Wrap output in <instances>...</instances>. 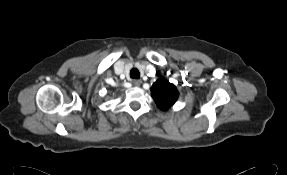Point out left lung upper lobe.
<instances>
[{"label": "left lung upper lobe", "mask_w": 287, "mask_h": 175, "mask_svg": "<svg viewBox=\"0 0 287 175\" xmlns=\"http://www.w3.org/2000/svg\"><path fill=\"white\" fill-rule=\"evenodd\" d=\"M151 95L161 110H167L178 99L176 87L162 77L153 84Z\"/></svg>", "instance_id": "5c2ea615"}]
</instances>
